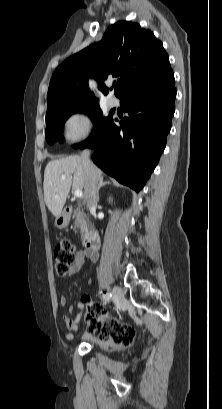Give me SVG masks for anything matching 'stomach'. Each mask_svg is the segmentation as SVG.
Returning <instances> with one entry per match:
<instances>
[{
  "label": "stomach",
  "mask_w": 222,
  "mask_h": 409,
  "mask_svg": "<svg viewBox=\"0 0 222 409\" xmlns=\"http://www.w3.org/2000/svg\"><path fill=\"white\" fill-rule=\"evenodd\" d=\"M70 221V214L66 210H62L61 213L55 218V226L59 229H63L68 226Z\"/></svg>",
  "instance_id": "1"
}]
</instances>
